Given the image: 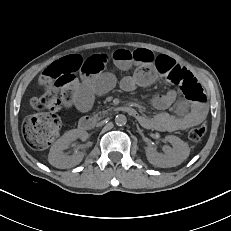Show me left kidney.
I'll return each instance as SVG.
<instances>
[{
  "label": "left kidney",
  "instance_id": "obj_1",
  "mask_svg": "<svg viewBox=\"0 0 231 231\" xmlns=\"http://www.w3.org/2000/svg\"><path fill=\"white\" fill-rule=\"evenodd\" d=\"M172 144L170 146H164L163 150L165 154H160L154 147H146V156L148 161L157 167L167 168L175 167L181 164L190 154V149L187 143L174 135H168L165 138Z\"/></svg>",
  "mask_w": 231,
  "mask_h": 231
}]
</instances>
